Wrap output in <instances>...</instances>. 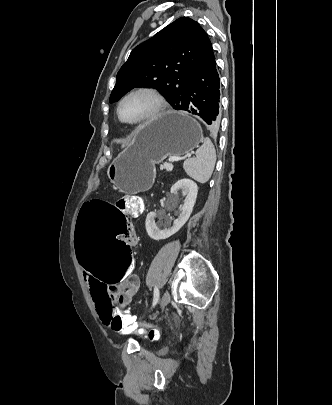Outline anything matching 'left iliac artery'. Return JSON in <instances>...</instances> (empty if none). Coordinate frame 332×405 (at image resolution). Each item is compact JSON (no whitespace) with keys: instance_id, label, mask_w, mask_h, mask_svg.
I'll use <instances>...</instances> for the list:
<instances>
[{"instance_id":"44dca946","label":"left iliac artery","mask_w":332,"mask_h":405,"mask_svg":"<svg viewBox=\"0 0 332 405\" xmlns=\"http://www.w3.org/2000/svg\"><path fill=\"white\" fill-rule=\"evenodd\" d=\"M159 296H160L159 288L157 286H155L154 293H153L152 307H154L157 304V302L159 300Z\"/></svg>"}]
</instances>
